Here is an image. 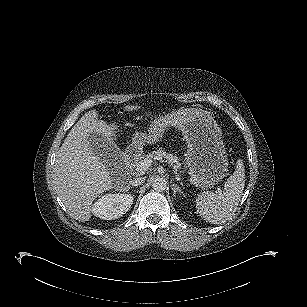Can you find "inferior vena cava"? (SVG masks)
Segmentation results:
<instances>
[{"label":"inferior vena cava","instance_id":"obj_1","mask_svg":"<svg viewBox=\"0 0 307 307\" xmlns=\"http://www.w3.org/2000/svg\"><path fill=\"white\" fill-rule=\"evenodd\" d=\"M144 181H145V178L136 177V178L131 179L130 184L132 186H139V185H142L144 183Z\"/></svg>","mask_w":307,"mask_h":307}]
</instances>
